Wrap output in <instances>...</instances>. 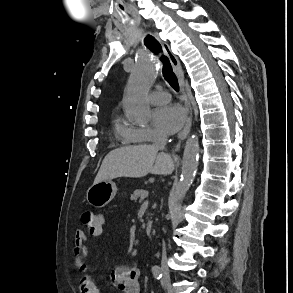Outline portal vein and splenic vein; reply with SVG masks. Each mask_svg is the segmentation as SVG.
Wrapping results in <instances>:
<instances>
[{
  "mask_svg": "<svg viewBox=\"0 0 293 293\" xmlns=\"http://www.w3.org/2000/svg\"><path fill=\"white\" fill-rule=\"evenodd\" d=\"M148 191L147 192H145L142 196H141V200H144L145 198H147L148 197Z\"/></svg>",
  "mask_w": 293,
  "mask_h": 293,
  "instance_id": "portal-vein-and-splenic-vein-1",
  "label": "portal vein and splenic vein"
}]
</instances>
